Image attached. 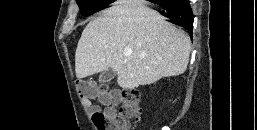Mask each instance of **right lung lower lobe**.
Listing matches in <instances>:
<instances>
[{
  "mask_svg": "<svg viewBox=\"0 0 257 130\" xmlns=\"http://www.w3.org/2000/svg\"><path fill=\"white\" fill-rule=\"evenodd\" d=\"M154 3L163 8L162 14L169 22L187 29L192 35L194 17L188 0H164Z\"/></svg>",
  "mask_w": 257,
  "mask_h": 130,
  "instance_id": "98d812e1",
  "label": "right lung lower lobe"
}]
</instances>
